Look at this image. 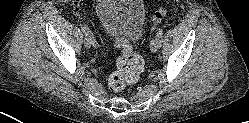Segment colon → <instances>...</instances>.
I'll list each match as a JSON object with an SVG mask.
<instances>
[{"mask_svg":"<svg viewBox=\"0 0 249 123\" xmlns=\"http://www.w3.org/2000/svg\"><path fill=\"white\" fill-rule=\"evenodd\" d=\"M164 15V10L159 9L153 13V19L158 21ZM121 55L117 59V69L108 79L109 88L112 91H121L127 85L135 83L144 70L143 58L133 51L127 41L120 44Z\"/></svg>","mask_w":249,"mask_h":123,"instance_id":"5ec220e1","label":"colon"}]
</instances>
